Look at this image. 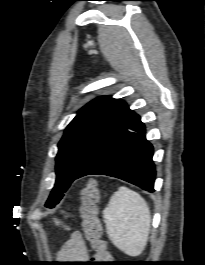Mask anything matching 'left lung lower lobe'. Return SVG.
<instances>
[{"instance_id":"0a47b994","label":"left lung lower lobe","mask_w":205,"mask_h":265,"mask_svg":"<svg viewBox=\"0 0 205 265\" xmlns=\"http://www.w3.org/2000/svg\"><path fill=\"white\" fill-rule=\"evenodd\" d=\"M145 126L134 114L128 124L111 139L77 174L116 177L154 192L153 146L145 137Z\"/></svg>"}]
</instances>
